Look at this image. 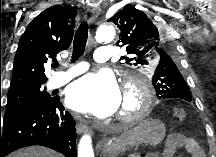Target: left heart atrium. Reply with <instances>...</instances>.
<instances>
[{
    "mask_svg": "<svg viewBox=\"0 0 216 157\" xmlns=\"http://www.w3.org/2000/svg\"><path fill=\"white\" fill-rule=\"evenodd\" d=\"M65 101L72 110L104 118L119 109L122 94L111 73L99 72L73 82L67 89Z\"/></svg>",
    "mask_w": 216,
    "mask_h": 157,
    "instance_id": "obj_1",
    "label": "left heart atrium"
}]
</instances>
